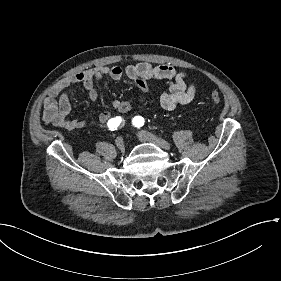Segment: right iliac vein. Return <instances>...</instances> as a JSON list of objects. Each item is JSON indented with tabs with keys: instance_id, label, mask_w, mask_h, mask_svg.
Instances as JSON below:
<instances>
[{
	"instance_id": "63e3f726",
	"label": "right iliac vein",
	"mask_w": 281,
	"mask_h": 281,
	"mask_svg": "<svg viewBox=\"0 0 281 281\" xmlns=\"http://www.w3.org/2000/svg\"><path fill=\"white\" fill-rule=\"evenodd\" d=\"M115 144L118 147V149H120L121 151H123L125 149L124 148V141H123V139L121 137H117L116 138Z\"/></svg>"
}]
</instances>
